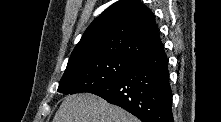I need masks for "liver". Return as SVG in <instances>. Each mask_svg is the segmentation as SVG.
<instances>
[{
    "mask_svg": "<svg viewBox=\"0 0 221 122\" xmlns=\"http://www.w3.org/2000/svg\"><path fill=\"white\" fill-rule=\"evenodd\" d=\"M53 122H138L124 109L91 93L66 96Z\"/></svg>",
    "mask_w": 221,
    "mask_h": 122,
    "instance_id": "1",
    "label": "liver"
}]
</instances>
